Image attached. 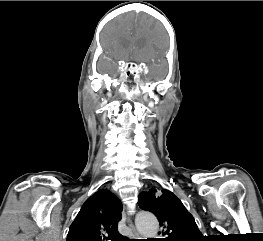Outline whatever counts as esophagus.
<instances>
[{"label": "esophagus", "instance_id": "esophagus-1", "mask_svg": "<svg viewBox=\"0 0 263 241\" xmlns=\"http://www.w3.org/2000/svg\"><path fill=\"white\" fill-rule=\"evenodd\" d=\"M128 221L130 222V219L128 218ZM130 226L132 227V230H133V239L135 241H141V237L140 235L138 234V232L134 229L133 225L131 224L130 222Z\"/></svg>", "mask_w": 263, "mask_h": 241}]
</instances>
